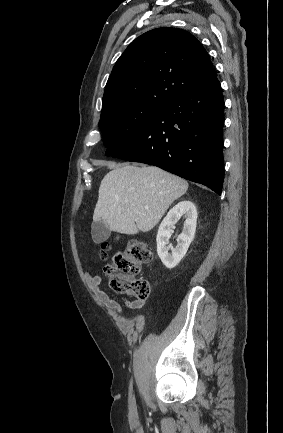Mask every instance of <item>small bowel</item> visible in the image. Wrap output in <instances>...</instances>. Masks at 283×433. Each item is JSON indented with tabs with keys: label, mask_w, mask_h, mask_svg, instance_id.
Instances as JSON below:
<instances>
[{
	"label": "small bowel",
	"mask_w": 283,
	"mask_h": 433,
	"mask_svg": "<svg viewBox=\"0 0 283 433\" xmlns=\"http://www.w3.org/2000/svg\"><path fill=\"white\" fill-rule=\"evenodd\" d=\"M86 281L91 289V291L94 293L96 300L113 311L119 318H121L122 323H124L127 327L133 326V325H143L145 322V316L143 315V310L146 305V301L142 299H133L128 300L124 299L123 303L127 308L133 309L137 312V317L135 320H128L124 317V311L121 304L115 300L112 299L104 290L101 288L102 284V278L99 275H91L86 274Z\"/></svg>",
	"instance_id": "obj_1"
}]
</instances>
